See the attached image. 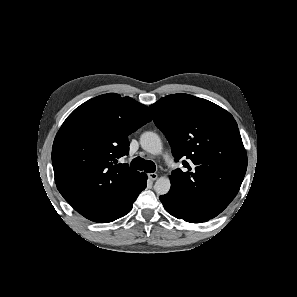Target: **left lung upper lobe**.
I'll return each instance as SVG.
<instances>
[{
	"label": "left lung upper lobe",
	"instance_id": "1",
	"mask_svg": "<svg viewBox=\"0 0 297 297\" xmlns=\"http://www.w3.org/2000/svg\"><path fill=\"white\" fill-rule=\"evenodd\" d=\"M156 126L185 171L170 176L171 189L184 204L214 218L238 193L247 169V154L237 123L220 106L189 94L161 98L149 106Z\"/></svg>",
	"mask_w": 297,
	"mask_h": 297
}]
</instances>
